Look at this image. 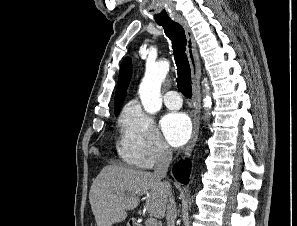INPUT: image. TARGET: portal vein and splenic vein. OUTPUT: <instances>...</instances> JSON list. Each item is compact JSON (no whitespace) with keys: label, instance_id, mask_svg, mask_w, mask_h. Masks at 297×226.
Instances as JSON below:
<instances>
[{"label":"portal vein and splenic vein","instance_id":"18ae733b","mask_svg":"<svg viewBox=\"0 0 297 226\" xmlns=\"http://www.w3.org/2000/svg\"><path fill=\"white\" fill-rule=\"evenodd\" d=\"M145 224H146V226H156L157 221L155 218H149L146 220Z\"/></svg>","mask_w":297,"mask_h":226}]
</instances>
